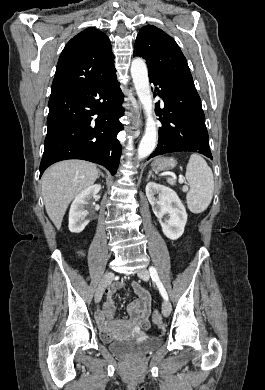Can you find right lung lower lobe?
Returning <instances> with one entry per match:
<instances>
[{
	"label": "right lung lower lobe",
	"mask_w": 265,
	"mask_h": 390,
	"mask_svg": "<svg viewBox=\"0 0 265 390\" xmlns=\"http://www.w3.org/2000/svg\"><path fill=\"white\" fill-rule=\"evenodd\" d=\"M116 78L114 68L83 86L50 95L40 176L65 159L95 162L116 173L121 155L116 135L123 129L119 118L124 114Z\"/></svg>",
	"instance_id": "98d812e1"
}]
</instances>
